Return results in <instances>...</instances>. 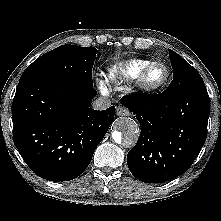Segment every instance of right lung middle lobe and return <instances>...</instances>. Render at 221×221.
Here are the masks:
<instances>
[{
    "instance_id": "1",
    "label": "right lung middle lobe",
    "mask_w": 221,
    "mask_h": 221,
    "mask_svg": "<svg viewBox=\"0 0 221 221\" xmlns=\"http://www.w3.org/2000/svg\"><path fill=\"white\" fill-rule=\"evenodd\" d=\"M97 49L62 45L42 55L23 72L24 79H45L93 87L92 68Z\"/></svg>"
}]
</instances>
